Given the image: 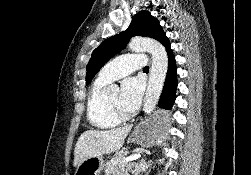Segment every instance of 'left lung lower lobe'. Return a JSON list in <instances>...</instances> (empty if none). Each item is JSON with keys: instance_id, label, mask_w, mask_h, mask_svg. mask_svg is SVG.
Returning <instances> with one entry per match:
<instances>
[{"instance_id": "1", "label": "left lung lower lobe", "mask_w": 251, "mask_h": 175, "mask_svg": "<svg viewBox=\"0 0 251 175\" xmlns=\"http://www.w3.org/2000/svg\"><path fill=\"white\" fill-rule=\"evenodd\" d=\"M159 42L165 46L169 57L168 72L165 79L163 91L159 100V108L170 110L175 101V93L177 89V69L175 64V57L170 48V42L166 35H164ZM171 114L167 111H161L156 115V120L159 122H167L171 119Z\"/></svg>"}]
</instances>
